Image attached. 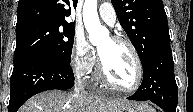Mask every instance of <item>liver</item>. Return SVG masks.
Here are the masks:
<instances>
[{
  "label": "liver",
  "mask_w": 193,
  "mask_h": 112,
  "mask_svg": "<svg viewBox=\"0 0 193 112\" xmlns=\"http://www.w3.org/2000/svg\"><path fill=\"white\" fill-rule=\"evenodd\" d=\"M135 102L109 99L76 92L53 90L35 95L19 109V112H116Z\"/></svg>",
  "instance_id": "6515ba94"
}]
</instances>
